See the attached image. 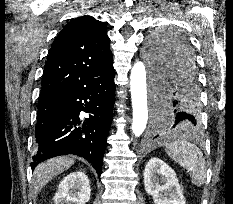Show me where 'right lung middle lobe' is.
<instances>
[{"label": "right lung middle lobe", "instance_id": "right-lung-middle-lobe-1", "mask_svg": "<svg viewBox=\"0 0 233 204\" xmlns=\"http://www.w3.org/2000/svg\"><path fill=\"white\" fill-rule=\"evenodd\" d=\"M58 119V113L56 111L40 107L38 105V118L35 129V135L39 136L44 131L50 128V126Z\"/></svg>", "mask_w": 233, "mask_h": 204}]
</instances>
